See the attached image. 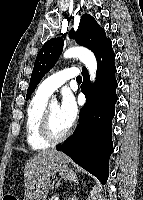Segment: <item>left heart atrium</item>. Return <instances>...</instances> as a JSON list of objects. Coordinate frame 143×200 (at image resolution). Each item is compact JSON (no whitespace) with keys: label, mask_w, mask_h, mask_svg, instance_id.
<instances>
[{"label":"left heart atrium","mask_w":143,"mask_h":200,"mask_svg":"<svg viewBox=\"0 0 143 200\" xmlns=\"http://www.w3.org/2000/svg\"><path fill=\"white\" fill-rule=\"evenodd\" d=\"M59 111L62 119L70 127L76 119L77 106L74 96L69 91L63 93Z\"/></svg>","instance_id":"39dd6f15"}]
</instances>
